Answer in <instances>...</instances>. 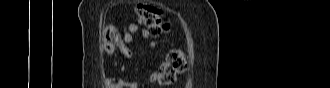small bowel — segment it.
I'll return each instance as SVG.
<instances>
[{
    "instance_id": "1",
    "label": "small bowel",
    "mask_w": 330,
    "mask_h": 88,
    "mask_svg": "<svg viewBox=\"0 0 330 88\" xmlns=\"http://www.w3.org/2000/svg\"><path fill=\"white\" fill-rule=\"evenodd\" d=\"M139 34L143 39H147L150 34L146 29L140 28L137 24L130 23L127 25L121 40L117 44L118 51L125 58H133L134 52L129 47L130 44L134 43L135 35ZM107 85L109 88H137L138 85L135 82H130L124 79H115L109 77L107 79Z\"/></svg>"
}]
</instances>
